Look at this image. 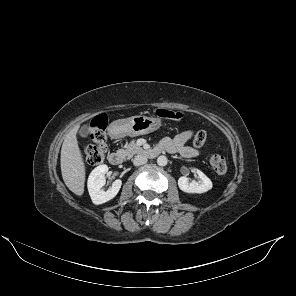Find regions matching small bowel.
Segmentation results:
<instances>
[{"label": "small bowel", "mask_w": 296, "mask_h": 296, "mask_svg": "<svg viewBox=\"0 0 296 296\" xmlns=\"http://www.w3.org/2000/svg\"><path fill=\"white\" fill-rule=\"evenodd\" d=\"M192 130H185L174 136L166 137L160 142V146L171 154H179L185 158H194L202 154L201 150L190 147L187 142L193 137Z\"/></svg>", "instance_id": "c3829d8e"}]
</instances>
